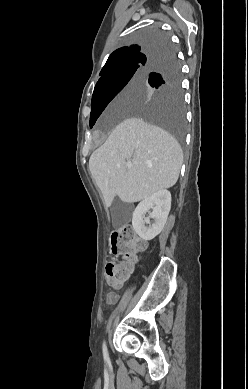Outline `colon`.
Returning a JSON list of instances; mask_svg holds the SVG:
<instances>
[{
  "label": "colon",
  "mask_w": 248,
  "mask_h": 389,
  "mask_svg": "<svg viewBox=\"0 0 248 389\" xmlns=\"http://www.w3.org/2000/svg\"><path fill=\"white\" fill-rule=\"evenodd\" d=\"M145 243L136 235L131 226H124L111 237V252L123 255L127 263L109 262L106 265L107 282L111 287H119L131 270V262L135 255L145 248Z\"/></svg>",
  "instance_id": "5ec220e1"
}]
</instances>
